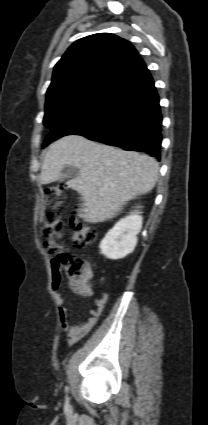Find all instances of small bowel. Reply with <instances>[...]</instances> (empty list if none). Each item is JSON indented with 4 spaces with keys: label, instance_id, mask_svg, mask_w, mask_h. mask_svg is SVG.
<instances>
[{
    "label": "small bowel",
    "instance_id": "c3829d8e",
    "mask_svg": "<svg viewBox=\"0 0 208 425\" xmlns=\"http://www.w3.org/2000/svg\"><path fill=\"white\" fill-rule=\"evenodd\" d=\"M90 277L91 271H88L86 281L82 286V290L86 296L95 297L96 293L93 291L92 287L87 282ZM59 283L60 275L53 271L52 289L57 304V313L60 327L62 331L66 333L68 342L70 344H75L82 338L87 336L95 327L97 320L101 316L104 306L107 303L109 297L107 293H101L100 295H98V297L95 299V308L90 311L89 317L79 324H72L68 320V310L65 306L64 299L60 293Z\"/></svg>",
    "mask_w": 208,
    "mask_h": 425
}]
</instances>
